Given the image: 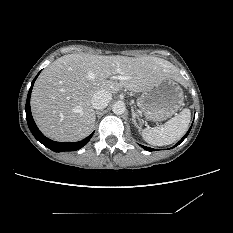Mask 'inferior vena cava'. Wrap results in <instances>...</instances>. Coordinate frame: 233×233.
I'll use <instances>...</instances> for the list:
<instances>
[{
	"label": "inferior vena cava",
	"mask_w": 233,
	"mask_h": 233,
	"mask_svg": "<svg viewBox=\"0 0 233 233\" xmlns=\"http://www.w3.org/2000/svg\"><path fill=\"white\" fill-rule=\"evenodd\" d=\"M112 99V94L106 90H99L94 93L91 104L94 109H104Z\"/></svg>",
	"instance_id": "602c4592"
}]
</instances>
